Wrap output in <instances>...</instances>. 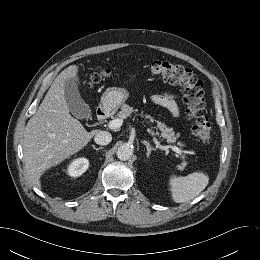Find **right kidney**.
Wrapping results in <instances>:
<instances>
[{"label":"right kidney","mask_w":260,"mask_h":260,"mask_svg":"<svg viewBox=\"0 0 260 260\" xmlns=\"http://www.w3.org/2000/svg\"><path fill=\"white\" fill-rule=\"evenodd\" d=\"M89 167V161L86 158H78L73 160L67 167V173L71 177L82 175Z\"/></svg>","instance_id":"obj_1"}]
</instances>
